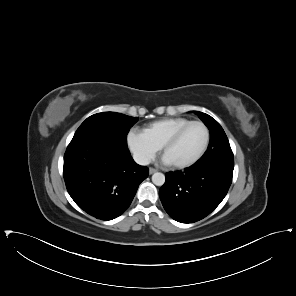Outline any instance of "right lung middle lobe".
Returning <instances> with one entry per match:
<instances>
[{"label": "right lung middle lobe", "mask_w": 296, "mask_h": 296, "mask_svg": "<svg viewBox=\"0 0 296 296\" xmlns=\"http://www.w3.org/2000/svg\"><path fill=\"white\" fill-rule=\"evenodd\" d=\"M137 121L138 117H130L120 113H97L88 117L80 125L72 141L101 139L120 146H127V133Z\"/></svg>", "instance_id": "1"}]
</instances>
